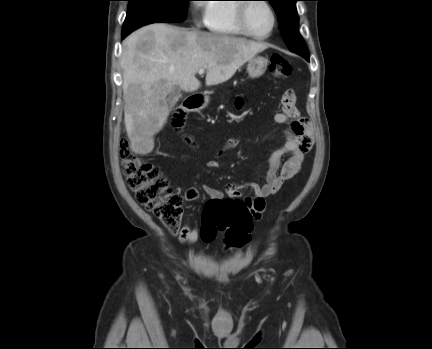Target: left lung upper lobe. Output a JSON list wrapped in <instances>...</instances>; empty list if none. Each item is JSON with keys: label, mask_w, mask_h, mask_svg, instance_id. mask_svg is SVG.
<instances>
[{"label": "left lung upper lobe", "mask_w": 432, "mask_h": 349, "mask_svg": "<svg viewBox=\"0 0 432 349\" xmlns=\"http://www.w3.org/2000/svg\"><path fill=\"white\" fill-rule=\"evenodd\" d=\"M274 7L278 20L279 28L285 43L292 52L297 54H309L298 31V14L296 1L298 0H267Z\"/></svg>", "instance_id": "left-lung-upper-lobe-1"}]
</instances>
